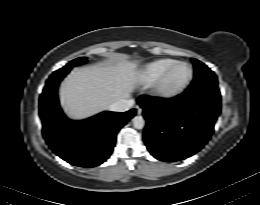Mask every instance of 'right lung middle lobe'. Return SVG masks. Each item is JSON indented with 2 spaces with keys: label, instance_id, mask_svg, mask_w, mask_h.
Here are the masks:
<instances>
[{
  "label": "right lung middle lobe",
  "instance_id": "dd1d6c3e",
  "mask_svg": "<svg viewBox=\"0 0 260 205\" xmlns=\"http://www.w3.org/2000/svg\"><path fill=\"white\" fill-rule=\"evenodd\" d=\"M86 59H87L86 57L77 58V59L69 62L66 66H64L63 68H61L59 70L63 71V70L71 69L73 66H77V65H80L82 63H85Z\"/></svg>",
  "mask_w": 260,
  "mask_h": 205
}]
</instances>
